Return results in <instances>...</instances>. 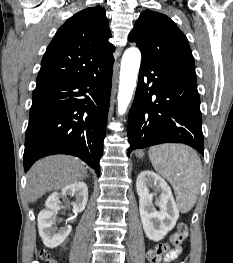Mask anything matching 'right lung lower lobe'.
Returning <instances> with one entry per match:
<instances>
[{
  "mask_svg": "<svg viewBox=\"0 0 233 263\" xmlns=\"http://www.w3.org/2000/svg\"><path fill=\"white\" fill-rule=\"evenodd\" d=\"M113 62L86 78L35 88L25 137V172L44 156L69 154L99 176Z\"/></svg>",
  "mask_w": 233,
  "mask_h": 263,
  "instance_id": "obj_1",
  "label": "right lung lower lobe"
}]
</instances>
